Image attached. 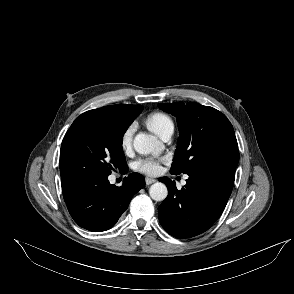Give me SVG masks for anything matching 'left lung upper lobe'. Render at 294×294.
<instances>
[{
	"mask_svg": "<svg viewBox=\"0 0 294 294\" xmlns=\"http://www.w3.org/2000/svg\"><path fill=\"white\" fill-rule=\"evenodd\" d=\"M158 107L176 117L180 133L171 174H194L216 157L238 150L233 126L220 111L194 102Z\"/></svg>",
	"mask_w": 294,
	"mask_h": 294,
	"instance_id": "obj_1",
	"label": "left lung upper lobe"
}]
</instances>
